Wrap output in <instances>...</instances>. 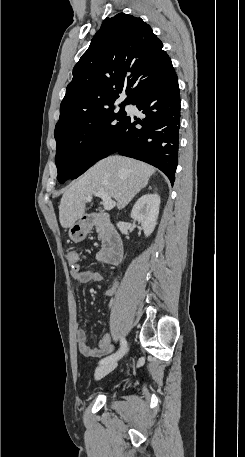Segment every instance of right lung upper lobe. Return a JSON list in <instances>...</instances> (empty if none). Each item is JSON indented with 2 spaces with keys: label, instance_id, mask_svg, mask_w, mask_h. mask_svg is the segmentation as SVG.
Returning <instances> with one entry per match:
<instances>
[{
  "label": "right lung upper lobe",
  "instance_id": "1",
  "mask_svg": "<svg viewBox=\"0 0 245 457\" xmlns=\"http://www.w3.org/2000/svg\"><path fill=\"white\" fill-rule=\"evenodd\" d=\"M163 44L141 18L119 13L104 20L73 68L56 127L107 107L122 92L129 101L146 81L173 69Z\"/></svg>",
  "mask_w": 245,
  "mask_h": 457
}]
</instances>
